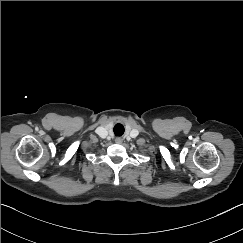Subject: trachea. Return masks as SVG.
Masks as SVG:
<instances>
[{"instance_id":"3493384b","label":"trachea","mask_w":243,"mask_h":243,"mask_svg":"<svg viewBox=\"0 0 243 243\" xmlns=\"http://www.w3.org/2000/svg\"><path fill=\"white\" fill-rule=\"evenodd\" d=\"M116 127H119V128H122V129L124 128L123 125H121V124H117V125L115 126V128H116Z\"/></svg>"}]
</instances>
